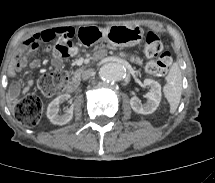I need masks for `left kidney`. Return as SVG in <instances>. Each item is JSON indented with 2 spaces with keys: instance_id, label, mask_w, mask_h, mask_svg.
Here are the masks:
<instances>
[{
  "instance_id": "1",
  "label": "left kidney",
  "mask_w": 215,
  "mask_h": 183,
  "mask_svg": "<svg viewBox=\"0 0 215 183\" xmlns=\"http://www.w3.org/2000/svg\"><path fill=\"white\" fill-rule=\"evenodd\" d=\"M145 86L150 87V92L146 94L147 103L142 104L140 99L137 97H132L130 100V105L133 111L139 114H151L153 113L161 101V85L153 79H144Z\"/></svg>"
}]
</instances>
